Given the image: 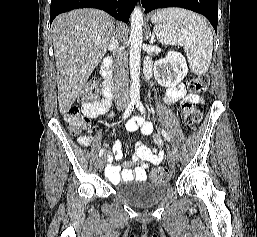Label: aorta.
<instances>
[{
  "instance_id": "obj_1",
  "label": "aorta",
  "mask_w": 257,
  "mask_h": 237,
  "mask_svg": "<svg viewBox=\"0 0 257 237\" xmlns=\"http://www.w3.org/2000/svg\"><path fill=\"white\" fill-rule=\"evenodd\" d=\"M131 31H130V75L131 87L130 97L132 100L140 98L139 78H140V58L141 47L143 42V12L139 7H136L130 18Z\"/></svg>"
}]
</instances>
